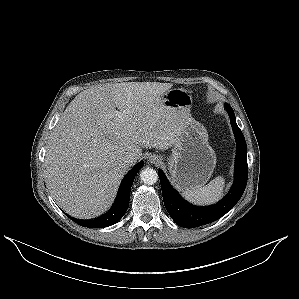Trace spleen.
<instances>
[{"instance_id": "3e777b00", "label": "spleen", "mask_w": 299, "mask_h": 299, "mask_svg": "<svg viewBox=\"0 0 299 299\" xmlns=\"http://www.w3.org/2000/svg\"><path fill=\"white\" fill-rule=\"evenodd\" d=\"M224 185V178L218 176L203 187L185 190L182 195L186 200L194 204H212L221 198Z\"/></svg>"}]
</instances>
